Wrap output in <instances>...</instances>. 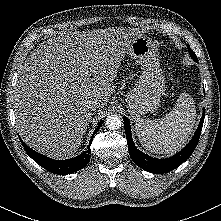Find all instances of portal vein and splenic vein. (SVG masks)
Returning a JSON list of instances; mask_svg holds the SVG:
<instances>
[{
  "instance_id": "18ae733b",
  "label": "portal vein and splenic vein",
  "mask_w": 221,
  "mask_h": 221,
  "mask_svg": "<svg viewBox=\"0 0 221 221\" xmlns=\"http://www.w3.org/2000/svg\"><path fill=\"white\" fill-rule=\"evenodd\" d=\"M81 73H82V76H85V77L89 76L88 70H82Z\"/></svg>"
}]
</instances>
